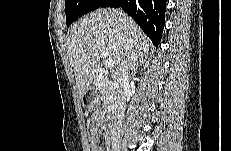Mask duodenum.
Here are the masks:
<instances>
[{
	"instance_id": "410a0bca",
	"label": "duodenum",
	"mask_w": 231,
	"mask_h": 151,
	"mask_svg": "<svg viewBox=\"0 0 231 151\" xmlns=\"http://www.w3.org/2000/svg\"><path fill=\"white\" fill-rule=\"evenodd\" d=\"M87 103L90 105L91 104V100L89 99L87 101ZM106 116H107V120L110 122V125H113L114 121L117 119L118 114H117L116 110L111 109V110H109L107 112ZM109 141H110V137L108 135V138H107V144L108 145H109Z\"/></svg>"
}]
</instances>
